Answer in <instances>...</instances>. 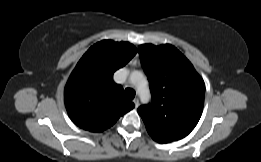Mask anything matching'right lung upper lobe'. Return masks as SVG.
Masks as SVG:
<instances>
[{
    "mask_svg": "<svg viewBox=\"0 0 261 162\" xmlns=\"http://www.w3.org/2000/svg\"><path fill=\"white\" fill-rule=\"evenodd\" d=\"M136 53V47L129 42L103 40L82 56L64 90L67 112L78 127L102 132L134 108L123 98V88L112 76Z\"/></svg>",
    "mask_w": 261,
    "mask_h": 162,
    "instance_id": "obj_1",
    "label": "right lung upper lobe"
}]
</instances>
